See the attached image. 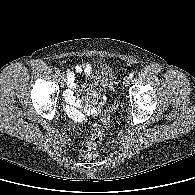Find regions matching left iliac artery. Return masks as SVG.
<instances>
[{"mask_svg": "<svg viewBox=\"0 0 195 195\" xmlns=\"http://www.w3.org/2000/svg\"><path fill=\"white\" fill-rule=\"evenodd\" d=\"M134 72H132L131 74H130V78H133L134 77Z\"/></svg>", "mask_w": 195, "mask_h": 195, "instance_id": "44dca946", "label": "left iliac artery"}]
</instances>
